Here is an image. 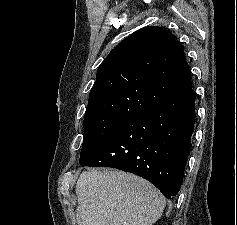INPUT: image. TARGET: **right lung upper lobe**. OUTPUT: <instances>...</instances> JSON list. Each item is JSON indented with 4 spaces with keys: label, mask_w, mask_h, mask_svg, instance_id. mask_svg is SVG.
Wrapping results in <instances>:
<instances>
[{
    "label": "right lung upper lobe",
    "mask_w": 237,
    "mask_h": 225,
    "mask_svg": "<svg viewBox=\"0 0 237 225\" xmlns=\"http://www.w3.org/2000/svg\"><path fill=\"white\" fill-rule=\"evenodd\" d=\"M191 87L185 53L174 35L146 27L120 42L101 63L84 117L131 119Z\"/></svg>",
    "instance_id": "1"
}]
</instances>
